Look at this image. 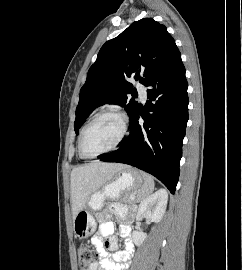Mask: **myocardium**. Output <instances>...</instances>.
Returning a JSON list of instances; mask_svg holds the SVG:
<instances>
[{
	"label": "myocardium",
	"mask_w": 242,
	"mask_h": 270,
	"mask_svg": "<svg viewBox=\"0 0 242 270\" xmlns=\"http://www.w3.org/2000/svg\"><path fill=\"white\" fill-rule=\"evenodd\" d=\"M104 116H116L120 119L121 124H122V131H121L120 137L111 147H109L101 152H98L96 154H87L83 148L84 137H85L87 131L89 130V128L97 120H99L100 118H102ZM127 134H128V119L124 113H122L121 111L115 110V109L102 110V111L98 112L83 128V130L80 134V137H79V141H78V152L85 159H92V158L107 154V153L112 152L115 149H117L123 143Z\"/></svg>",
	"instance_id": "1"
}]
</instances>
